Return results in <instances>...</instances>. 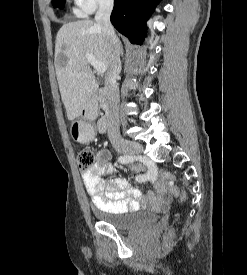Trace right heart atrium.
<instances>
[{"instance_id": "1", "label": "right heart atrium", "mask_w": 247, "mask_h": 275, "mask_svg": "<svg viewBox=\"0 0 247 275\" xmlns=\"http://www.w3.org/2000/svg\"><path fill=\"white\" fill-rule=\"evenodd\" d=\"M114 0H73L74 13L84 17L95 12L97 9L109 7Z\"/></svg>"}]
</instances>
